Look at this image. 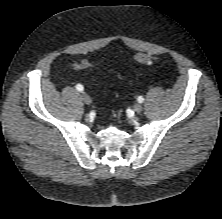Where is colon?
Instances as JSON below:
<instances>
[{
	"label": "colon",
	"mask_w": 222,
	"mask_h": 219,
	"mask_svg": "<svg viewBox=\"0 0 222 219\" xmlns=\"http://www.w3.org/2000/svg\"><path fill=\"white\" fill-rule=\"evenodd\" d=\"M135 60L140 64H150L153 61L157 60V58L149 54L140 53L136 55Z\"/></svg>",
	"instance_id": "5ec220e1"
}]
</instances>
